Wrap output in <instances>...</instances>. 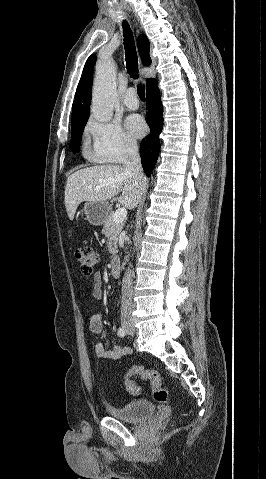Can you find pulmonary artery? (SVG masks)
I'll return each mask as SVG.
<instances>
[{
    "label": "pulmonary artery",
    "instance_id": "1",
    "mask_svg": "<svg viewBox=\"0 0 266 479\" xmlns=\"http://www.w3.org/2000/svg\"><path fill=\"white\" fill-rule=\"evenodd\" d=\"M124 104L130 110H136L139 107V100L136 91L133 88H129L126 91L124 95Z\"/></svg>",
    "mask_w": 266,
    "mask_h": 479
}]
</instances>
